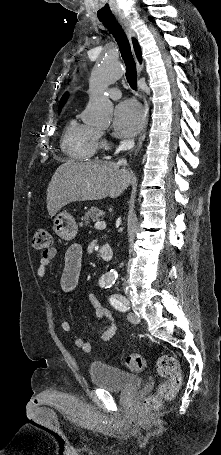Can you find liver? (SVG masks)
I'll return each instance as SVG.
<instances>
[{
    "mask_svg": "<svg viewBox=\"0 0 221 455\" xmlns=\"http://www.w3.org/2000/svg\"><path fill=\"white\" fill-rule=\"evenodd\" d=\"M113 162H74L60 165L47 189V210L53 217L65 205L76 201L116 198L129 186L132 176Z\"/></svg>",
    "mask_w": 221,
    "mask_h": 455,
    "instance_id": "liver-1",
    "label": "liver"
}]
</instances>
